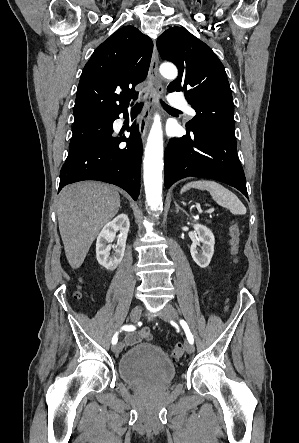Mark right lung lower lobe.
Instances as JSON below:
<instances>
[{"label":"right lung lower lobe","instance_id":"obj_1","mask_svg":"<svg viewBox=\"0 0 299 443\" xmlns=\"http://www.w3.org/2000/svg\"><path fill=\"white\" fill-rule=\"evenodd\" d=\"M137 105L131 110L134 119L141 110ZM127 109L105 116L109 121V130L103 136L93 138L69 153L60 172L59 191L67 184L82 180H98L115 184L137 200L140 192V170L142 142L138 128L133 124L128 131L130 137L122 138L112 135L113 122ZM125 141L126 147L119 144Z\"/></svg>","mask_w":299,"mask_h":443}]
</instances>
